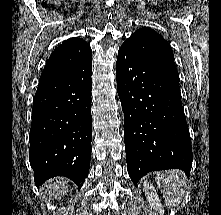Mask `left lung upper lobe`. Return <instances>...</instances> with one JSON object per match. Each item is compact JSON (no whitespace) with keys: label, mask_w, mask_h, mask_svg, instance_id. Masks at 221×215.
Returning a JSON list of instances; mask_svg holds the SVG:
<instances>
[{"label":"left lung upper lobe","mask_w":221,"mask_h":215,"mask_svg":"<svg viewBox=\"0 0 221 215\" xmlns=\"http://www.w3.org/2000/svg\"><path fill=\"white\" fill-rule=\"evenodd\" d=\"M123 45L131 48L152 65L179 79L169 43L154 30L138 29Z\"/></svg>","instance_id":"obj_1"}]
</instances>
